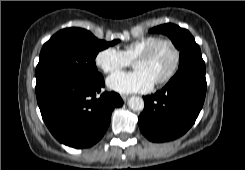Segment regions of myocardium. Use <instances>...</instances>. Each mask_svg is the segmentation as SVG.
I'll list each match as a JSON object with an SVG mask.
<instances>
[{
	"label": "myocardium",
	"instance_id": "1",
	"mask_svg": "<svg viewBox=\"0 0 245 170\" xmlns=\"http://www.w3.org/2000/svg\"><path fill=\"white\" fill-rule=\"evenodd\" d=\"M162 43H166L171 47L174 54V61L170 71L163 78L154 82L156 85L166 84L175 76L181 60L180 50L177 47V45L169 38H158L155 41H153L147 48L141 51L134 60L137 61L139 59L149 58L154 52L155 48Z\"/></svg>",
	"mask_w": 245,
	"mask_h": 170
}]
</instances>
